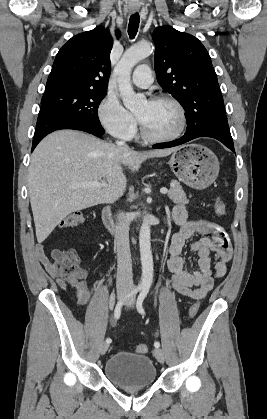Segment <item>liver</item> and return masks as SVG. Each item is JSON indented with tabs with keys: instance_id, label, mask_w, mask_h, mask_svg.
Segmentation results:
<instances>
[{
	"instance_id": "6515ba94",
	"label": "liver",
	"mask_w": 267,
	"mask_h": 419,
	"mask_svg": "<svg viewBox=\"0 0 267 419\" xmlns=\"http://www.w3.org/2000/svg\"><path fill=\"white\" fill-rule=\"evenodd\" d=\"M177 148L136 152L74 130H58L35 148L28 171V190L38 243L69 214L121 196L126 188L123 166L132 172L149 158ZM107 181L101 188L83 182Z\"/></svg>"
}]
</instances>
